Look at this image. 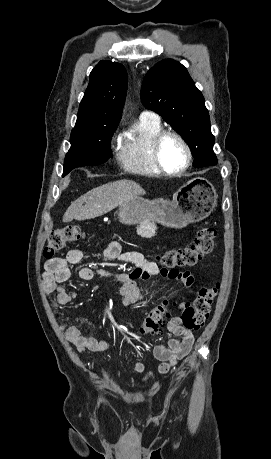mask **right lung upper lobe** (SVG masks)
<instances>
[{"label":"right lung upper lobe","mask_w":271,"mask_h":459,"mask_svg":"<svg viewBox=\"0 0 271 459\" xmlns=\"http://www.w3.org/2000/svg\"><path fill=\"white\" fill-rule=\"evenodd\" d=\"M127 82V72L121 64L100 61L90 74L89 85L79 106L78 119H121Z\"/></svg>","instance_id":"right-lung-upper-lobe-1"}]
</instances>
